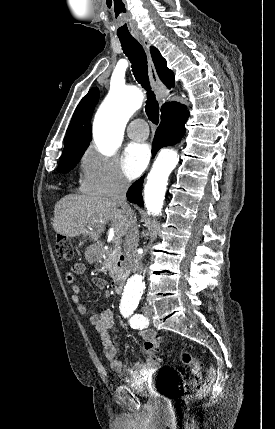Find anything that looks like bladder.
<instances>
[{
  "label": "bladder",
  "mask_w": 275,
  "mask_h": 429,
  "mask_svg": "<svg viewBox=\"0 0 275 429\" xmlns=\"http://www.w3.org/2000/svg\"><path fill=\"white\" fill-rule=\"evenodd\" d=\"M130 393L148 398V403H179L177 377L130 378Z\"/></svg>",
  "instance_id": "1"
}]
</instances>
